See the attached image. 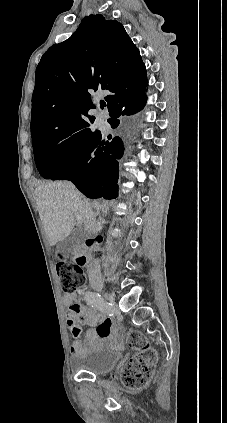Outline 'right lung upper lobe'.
<instances>
[{"label": "right lung upper lobe", "mask_w": 227, "mask_h": 423, "mask_svg": "<svg viewBox=\"0 0 227 423\" xmlns=\"http://www.w3.org/2000/svg\"><path fill=\"white\" fill-rule=\"evenodd\" d=\"M146 69L122 24L101 14L42 56L32 96V142L55 135H91L93 91H107V106L144 94Z\"/></svg>", "instance_id": "1"}]
</instances>
